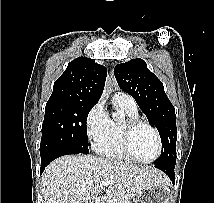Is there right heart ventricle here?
<instances>
[{"mask_svg":"<svg viewBox=\"0 0 214 203\" xmlns=\"http://www.w3.org/2000/svg\"><path fill=\"white\" fill-rule=\"evenodd\" d=\"M114 104L123 113L124 118L121 120L110 119L106 133L95 142V150L98 154L109 159L129 161L130 159L122 148V127L126 120L138 119V110L115 97Z\"/></svg>","mask_w":214,"mask_h":203,"instance_id":"obj_1","label":"right heart ventricle"}]
</instances>
